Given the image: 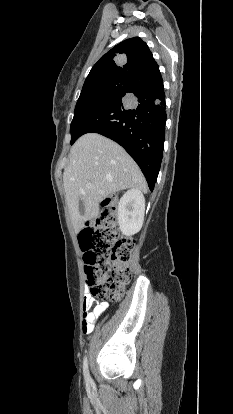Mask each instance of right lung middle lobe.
<instances>
[{
	"instance_id": "dd1d6c3e",
	"label": "right lung middle lobe",
	"mask_w": 233,
	"mask_h": 414,
	"mask_svg": "<svg viewBox=\"0 0 233 414\" xmlns=\"http://www.w3.org/2000/svg\"><path fill=\"white\" fill-rule=\"evenodd\" d=\"M132 83L131 80L107 76L84 84L71 122L70 144L78 139V129L91 112L125 94Z\"/></svg>"
}]
</instances>
